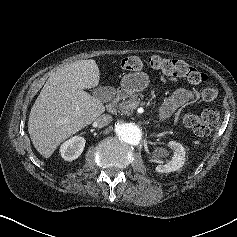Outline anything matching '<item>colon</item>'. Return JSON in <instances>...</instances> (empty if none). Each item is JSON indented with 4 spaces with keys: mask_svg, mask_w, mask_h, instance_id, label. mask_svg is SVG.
<instances>
[{
    "mask_svg": "<svg viewBox=\"0 0 237 237\" xmlns=\"http://www.w3.org/2000/svg\"><path fill=\"white\" fill-rule=\"evenodd\" d=\"M146 65L162 71L167 76L185 78L191 84L201 85V98L206 102L214 101L218 95V91L212 85L208 75L182 60L167 59L161 56H151L144 60L131 56L121 62V68L125 71H139ZM218 121L219 113L212 108L204 110L201 117L186 114L183 118L184 124L199 136L209 135L217 126Z\"/></svg>",
    "mask_w": 237,
    "mask_h": 237,
    "instance_id": "5ec220e1",
    "label": "colon"
}]
</instances>
